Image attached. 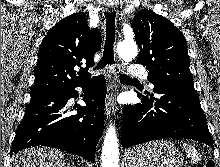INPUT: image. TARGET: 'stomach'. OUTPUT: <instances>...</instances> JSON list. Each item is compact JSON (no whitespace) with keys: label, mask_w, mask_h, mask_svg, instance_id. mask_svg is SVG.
<instances>
[{"label":"stomach","mask_w":220,"mask_h":167,"mask_svg":"<svg viewBox=\"0 0 220 167\" xmlns=\"http://www.w3.org/2000/svg\"><path fill=\"white\" fill-rule=\"evenodd\" d=\"M128 167H183L176 147L169 141H153L129 149L125 154Z\"/></svg>","instance_id":"obj_1"}]
</instances>
